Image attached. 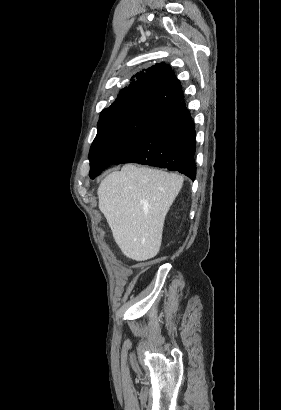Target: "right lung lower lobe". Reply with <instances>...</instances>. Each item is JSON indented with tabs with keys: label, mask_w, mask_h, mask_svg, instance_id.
<instances>
[{
	"label": "right lung lower lobe",
	"mask_w": 281,
	"mask_h": 410,
	"mask_svg": "<svg viewBox=\"0 0 281 410\" xmlns=\"http://www.w3.org/2000/svg\"><path fill=\"white\" fill-rule=\"evenodd\" d=\"M195 126L184 101L168 109L112 164L138 163L196 177Z\"/></svg>",
	"instance_id": "1"
}]
</instances>
